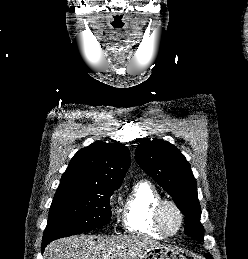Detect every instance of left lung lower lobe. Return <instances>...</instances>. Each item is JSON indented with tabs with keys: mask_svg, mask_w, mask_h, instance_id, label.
Masks as SVG:
<instances>
[{
	"mask_svg": "<svg viewBox=\"0 0 248 259\" xmlns=\"http://www.w3.org/2000/svg\"><path fill=\"white\" fill-rule=\"evenodd\" d=\"M207 259H213L212 256L210 254H205Z\"/></svg>",
	"mask_w": 248,
	"mask_h": 259,
	"instance_id": "0a47b994",
	"label": "left lung lower lobe"
}]
</instances>
